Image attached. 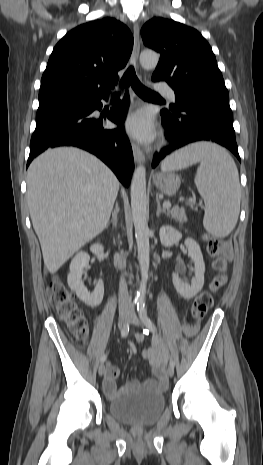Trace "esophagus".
Returning <instances> with one entry per match:
<instances>
[{
    "label": "esophagus",
    "mask_w": 263,
    "mask_h": 465,
    "mask_svg": "<svg viewBox=\"0 0 263 465\" xmlns=\"http://www.w3.org/2000/svg\"><path fill=\"white\" fill-rule=\"evenodd\" d=\"M133 37H134V45H133V52H132V62L134 64L137 63L139 51H140V36H139V27L137 24L133 27ZM132 151L134 160L137 163L145 162V156L140 149V147L136 143H132Z\"/></svg>",
    "instance_id": "34e87169"
}]
</instances>
